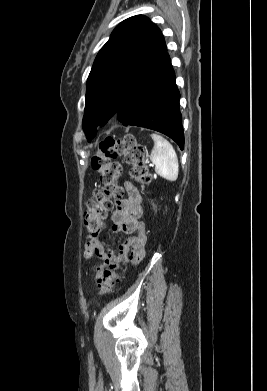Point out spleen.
Here are the masks:
<instances>
[{
    "label": "spleen",
    "mask_w": 267,
    "mask_h": 391,
    "mask_svg": "<svg viewBox=\"0 0 267 391\" xmlns=\"http://www.w3.org/2000/svg\"><path fill=\"white\" fill-rule=\"evenodd\" d=\"M154 147L150 159L155 164V171L168 181L178 178V158L173 146L158 134L151 135Z\"/></svg>",
    "instance_id": "1"
}]
</instances>
